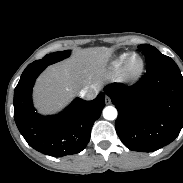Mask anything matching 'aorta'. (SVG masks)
Returning a JSON list of instances; mask_svg holds the SVG:
<instances>
[{
  "label": "aorta",
  "instance_id": "762f6f07",
  "mask_svg": "<svg viewBox=\"0 0 183 183\" xmlns=\"http://www.w3.org/2000/svg\"><path fill=\"white\" fill-rule=\"evenodd\" d=\"M103 117L106 120H114L117 118V110L113 106H107L103 109Z\"/></svg>",
  "mask_w": 183,
  "mask_h": 183
}]
</instances>
